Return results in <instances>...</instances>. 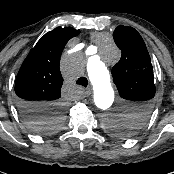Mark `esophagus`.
Here are the masks:
<instances>
[{
  "label": "esophagus",
  "mask_w": 174,
  "mask_h": 174,
  "mask_svg": "<svg viewBox=\"0 0 174 174\" xmlns=\"http://www.w3.org/2000/svg\"><path fill=\"white\" fill-rule=\"evenodd\" d=\"M84 94L85 96H89L91 94V89L90 88L86 89Z\"/></svg>",
  "instance_id": "obj_1"
}]
</instances>
